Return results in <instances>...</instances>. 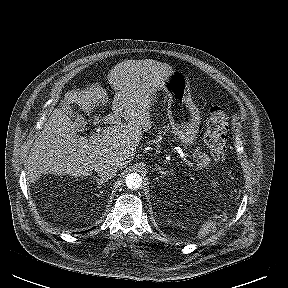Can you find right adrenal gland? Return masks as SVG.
I'll return each mask as SVG.
<instances>
[{
	"label": "right adrenal gland",
	"instance_id": "2a0ac1e0",
	"mask_svg": "<svg viewBox=\"0 0 288 288\" xmlns=\"http://www.w3.org/2000/svg\"><path fill=\"white\" fill-rule=\"evenodd\" d=\"M92 178L96 181L97 185H98V188H101L102 184L103 183H106L108 180H105V179H100L96 176H92Z\"/></svg>",
	"mask_w": 288,
	"mask_h": 288
}]
</instances>
